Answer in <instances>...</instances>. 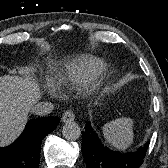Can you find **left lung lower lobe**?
Wrapping results in <instances>:
<instances>
[{
    "mask_svg": "<svg viewBox=\"0 0 168 168\" xmlns=\"http://www.w3.org/2000/svg\"><path fill=\"white\" fill-rule=\"evenodd\" d=\"M82 135L81 150L87 168H139L149 146L147 142L131 153L110 150L100 141L90 122L86 124Z\"/></svg>",
    "mask_w": 168,
    "mask_h": 168,
    "instance_id": "left-lung-lower-lobe-1",
    "label": "left lung lower lobe"
}]
</instances>
